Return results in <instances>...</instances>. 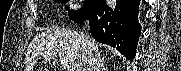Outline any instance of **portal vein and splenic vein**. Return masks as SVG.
Masks as SVG:
<instances>
[{
	"instance_id": "obj_1",
	"label": "portal vein and splenic vein",
	"mask_w": 181,
	"mask_h": 71,
	"mask_svg": "<svg viewBox=\"0 0 181 71\" xmlns=\"http://www.w3.org/2000/svg\"><path fill=\"white\" fill-rule=\"evenodd\" d=\"M59 59H60L61 65L63 66V68H64L65 71H72V70L69 68V66L67 65V62L65 61L64 58H61V57H60ZM46 60H49V59L46 58Z\"/></svg>"
}]
</instances>
